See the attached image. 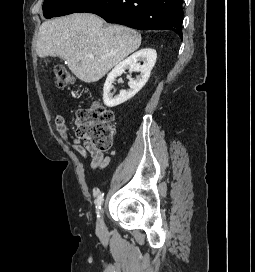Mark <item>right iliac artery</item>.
<instances>
[{"instance_id":"right-iliac-artery-1","label":"right iliac artery","mask_w":255,"mask_h":272,"mask_svg":"<svg viewBox=\"0 0 255 272\" xmlns=\"http://www.w3.org/2000/svg\"><path fill=\"white\" fill-rule=\"evenodd\" d=\"M103 201H104V193L100 194L95 201L97 213H99V210L101 209ZM97 217H99V215H97Z\"/></svg>"}]
</instances>
